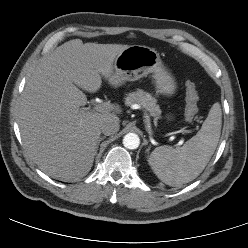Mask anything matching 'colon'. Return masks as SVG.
<instances>
[{"mask_svg":"<svg viewBox=\"0 0 248 248\" xmlns=\"http://www.w3.org/2000/svg\"><path fill=\"white\" fill-rule=\"evenodd\" d=\"M186 108H185V119L191 121L194 119L198 111V92L194 83L186 82Z\"/></svg>","mask_w":248,"mask_h":248,"instance_id":"obj_1","label":"colon"}]
</instances>
